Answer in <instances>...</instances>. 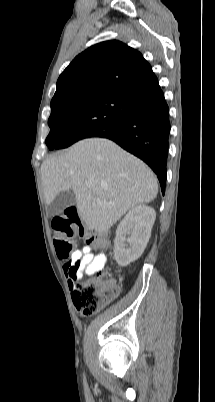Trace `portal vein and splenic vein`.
I'll return each instance as SVG.
<instances>
[{
    "label": "portal vein and splenic vein",
    "instance_id": "obj_1",
    "mask_svg": "<svg viewBox=\"0 0 215 402\" xmlns=\"http://www.w3.org/2000/svg\"><path fill=\"white\" fill-rule=\"evenodd\" d=\"M88 187H90L91 185L89 183L86 184Z\"/></svg>",
    "mask_w": 215,
    "mask_h": 402
}]
</instances>
